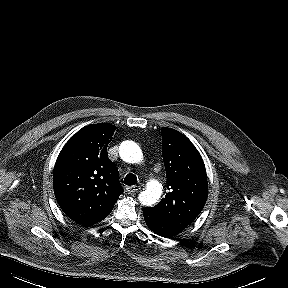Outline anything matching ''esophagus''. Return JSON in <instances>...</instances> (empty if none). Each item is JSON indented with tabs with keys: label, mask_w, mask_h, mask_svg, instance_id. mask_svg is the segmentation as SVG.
Returning a JSON list of instances; mask_svg holds the SVG:
<instances>
[{
	"label": "esophagus",
	"mask_w": 288,
	"mask_h": 288,
	"mask_svg": "<svg viewBox=\"0 0 288 288\" xmlns=\"http://www.w3.org/2000/svg\"><path fill=\"white\" fill-rule=\"evenodd\" d=\"M139 190H140V186H136V185L129 186V187L126 188V192L128 194H134V193L138 192Z\"/></svg>",
	"instance_id": "esophagus-1"
}]
</instances>
